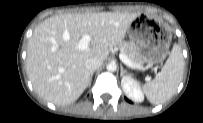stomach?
Segmentation results:
<instances>
[{
  "instance_id": "1",
  "label": "stomach",
  "mask_w": 203,
  "mask_h": 123,
  "mask_svg": "<svg viewBox=\"0 0 203 123\" xmlns=\"http://www.w3.org/2000/svg\"><path fill=\"white\" fill-rule=\"evenodd\" d=\"M128 34L143 63H161L169 54L172 35L163 24L151 17L136 22L129 28Z\"/></svg>"
}]
</instances>
